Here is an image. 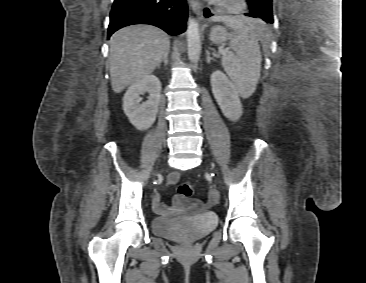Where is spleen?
Masks as SVG:
<instances>
[{
    "instance_id": "obj_1",
    "label": "spleen",
    "mask_w": 366,
    "mask_h": 283,
    "mask_svg": "<svg viewBox=\"0 0 366 283\" xmlns=\"http://www.w3.org/2000/svg\"><path fill=\"white\" fill-rule=\"evenodd\" d=\"M218 20L233 30L230 47L235 52L222 54V66L241 97L248 98L254 93L260 77L259 40L264 38L265 27L250 18L222 16Z\"/></svg>"
}]
</instances>
